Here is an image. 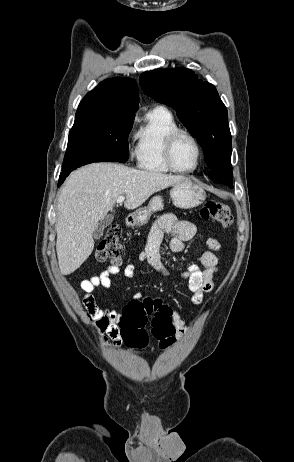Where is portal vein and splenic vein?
I'll list each match as a JSON object with an SVG mask.
<instances>
[{"label":"portal vein and splenic vein","instance_id":"1","mask_svg":"<svg viewBox=\"0 0 294 462\" xmlns=\"http://www.w3.org/2000/svg\"><path fill=\"white\" fill-rule=\"evenodd\" d=\"M125 200V196H119L116 200L117 203H122Z\"/></svg>","mask_w":294,"mask_h":462}]
</instances>
